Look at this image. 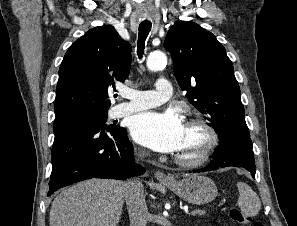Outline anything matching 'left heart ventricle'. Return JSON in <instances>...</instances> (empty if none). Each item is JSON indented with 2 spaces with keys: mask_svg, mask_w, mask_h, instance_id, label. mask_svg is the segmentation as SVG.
I'll list each match as a JSON object with an SVG mask.
<instances>
[{
  "mask_svg": "<svg viewBox=\"0 0 297 226\" xmlns=\"http://www.w3.org/2000/svg\"><path fill=\"white\" fill-rule=\"evenodd\" d=\"M205 141L206 136L199 127L185 125L183 143L177 154L184 157H192L202 149Z\"/></svg>",
  "mask_w": 297,
  "mask_h": 226,
  "instance_id": "1",
  "label": "left heart ventricle"
}]
</instances>
